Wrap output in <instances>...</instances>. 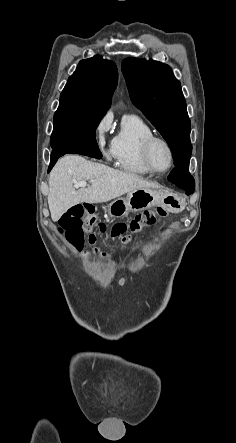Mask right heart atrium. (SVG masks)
Listing matches in <instances>:
<instances>
[{
    "label": "right heart atrium",
    "instance_id": "d8ad5b80",
    "mask_svg": "<svg viewBox=\"0 0 236 443\" xmlns=\"http://www.w3.org/2000/svg\"><path fill=\"white\" fill-rule=\"evenodd\" d=\"M112 114L107 112L96 123L93 130V139L99 151L106 157L112 158L113 139L108 136Z\"/></svg>",
    "mask_w": 236,
    "mask_h": 443
}]
</instances>
